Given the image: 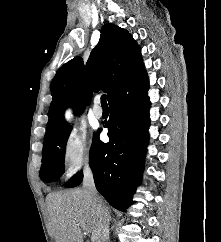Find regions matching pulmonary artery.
<instances>
[{
	"label": "pulmonary artery",
	"mask_w": 221,
	"mask_h": 242,
	"mask_svg": "<svg viewBox=\"0 0 221 242\" xmlns=\"http://www.w3.org/2000/svg\"><path fill=\"white\" fill-rule=\"evenodd\" d=\"M93 115L96 117V118H101L103 116V110L100 106V99L99 98H96L94 100V106H93Z\"/></svg>",
	"instance_id": "pulmonary-artery-1"
}]
</instances>
